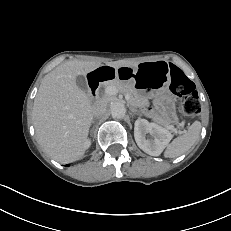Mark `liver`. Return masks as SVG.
<instances>
[{"label":"liver","mask_w":231,"mask_h":231,"mask_svg":"<svg viewBox=\"0 0 231 231\" xmlns=\"http://www.w3.org/2000/svg\"><path fill=\"white\" fill-rule=\"evenodd\" d=\"M138 63L119 60L107 65L117 70ZM100 66L93 61H67L47 74L39 87L33 106L36 139L44 152L60 163L79 160L87 148L93 105L77 86L76 77Z\"/></svg>","instance_id":"6515ba94"}]
</instances>
